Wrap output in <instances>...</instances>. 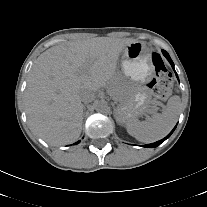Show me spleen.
Segmentation results:
<instances>
[{
  "instance_id": "1",
  "label": "spleen",
  "mask_w": 207,
  "mask_h": 207,
  "mask_svg": "<svg viewBox=\"0 0 207 207\" xmlns=\"http://www.w3.org/2000/svg\"><path fill=\"white\" fill-rule=\"evenodd\" d=\"M180 97L172 96L161 113H155L144 121L130 118L127 132L140 142L151 143L165 137L175 126L180 112Z\"/></svg>"
}]
</instances>
